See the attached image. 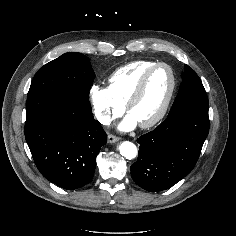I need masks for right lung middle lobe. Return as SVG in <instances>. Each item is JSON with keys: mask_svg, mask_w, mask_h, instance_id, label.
<instances>
[{"mask_svg": "<svg viewBox=\"0 0 236 236\" xmlns=\"http://www.w3.org/2000/svg\"><path fill=\"white\" fill-rule=\"evenodd\" d=\"M95 78L89 59L69 52L44 65L35 75L28 96L53 94L89 100Z\"/></svg>", "mask_w": 236, "mask_h": 236, "instance_id": "obj_1", "label": "right lung middle lobe"}]
</instances>
